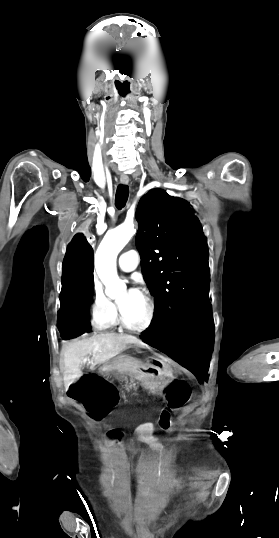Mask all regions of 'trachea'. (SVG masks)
Segmentation results:
<instances>
[{"label":"trachea","mask_w":279,"mask_h":538,"mask_svg":"<svg viewBox=\"0 0 279 538\" xmlns=\"http://www.w3.org/2000/svg\"><path fill=\"white\" fill-rule=\"evenodd\" d=\"M129 196V187L127 185H118L115 196L116 208L121 210L125 207Z\"/></svg>","instance_id":"3493384b"}]
</instances>
